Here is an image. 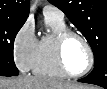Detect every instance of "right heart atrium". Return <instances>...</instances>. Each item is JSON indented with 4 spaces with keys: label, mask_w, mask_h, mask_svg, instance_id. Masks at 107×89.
Returning a JSON list of instances; mask_svg holds the SVG:
<instances>
[{
    "label": "right heart atrium",
    "mask_w": 107,
    "mask_h": 89,
    "mask_svg": "<svg viewBox=\"0 0 107 89\" xmlns=\"http://www.w3.org/2000/svg\"><path fill=\"white\" fill-rule=\"evenodd\" d=\"M37 45L34 25L26 21L16 33L12 45L15 64L21 71L26 72L32 68Z\"/></svg>",
    "instance_id": "obj_1"
}]
</instances>
